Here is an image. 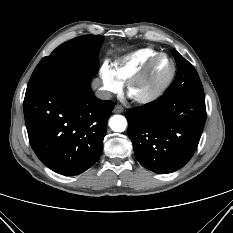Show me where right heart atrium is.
I'll list each match as a JSON object with an SVG mask.
<instances>
[{"label":"right heart atrium","instance_id":"right-heart-atrium-1","mask_svg":"<svg viewBox=\"0 0 233 233\" xmlns=\"http://www.w3.org/2000/svg\"><path fill=\"white\" fill-rule=\"evenodd\" d=\"M99 76L102 82L103 90L106 94L110 95L118 93L121 90L122 84L118 81L108 66L103 65L101 67Z\"/></svg>","mask_w":233,"mask_h":233}]
</instances>
